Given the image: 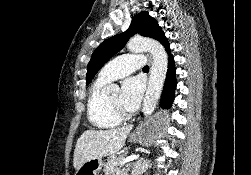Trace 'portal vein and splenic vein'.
I'll return each instance as SVG.
<instances>
[{"instance_id": "18ae733b", "label": "portal vein and splenic vein", "mask_w": 251, "mask_h": 175, "mask_svg": "<svg viewBox=\"0 0 251 175\" xmlns=\"http://www.w3.org/2000/svg\"><path fill=\"white\" fill-rule=\"evenodd\" d=\"M140 155L138 153V155H129V157H125V159H123V161H121V163H126V161H131V159H139Z\"/></svg>"}]
</instances>
